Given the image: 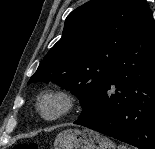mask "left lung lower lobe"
I'll use <instances>...</instances> for the list:
<instances>
[{
  "label": "left lung lower lobe",
  "mask_w": 155,
  "mask_h": 149,
  "mask_svg": "<svg viewBox=\"0 0 155 149\" xmlns=\"http://www.w3.org/2000/svg\"><path fill=\"white\" fill-rule=\"evenodd\" d=\"M111 85L117 88L110 93ZM74 124L155 149V23L146 14Z\"/></svg>",
  "instance_id": "obj_1"
}]
</instances>
